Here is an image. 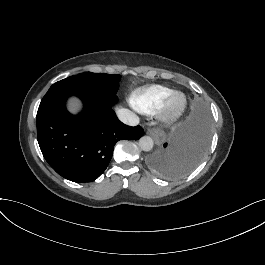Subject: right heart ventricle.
Listing matches in <instances>:
<instances>
[{"label": "right heart ventricle", "instance_id": "right-heart-ventricle-1", "mask_svg": "<svg viewBox=\"0 0 265 265\" xmlns=\"http://www.w3.org/2000/svg\"><path fill=\"white\" fill-rule=\"evenodd\" d=\"M173 92L162 87H154L149 92L134 100L135 107L144 114H154L160 111L170 100Z\"/></svg>", "mask_w": 265, "mask_h": 265}]
</instances>
